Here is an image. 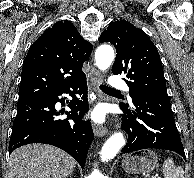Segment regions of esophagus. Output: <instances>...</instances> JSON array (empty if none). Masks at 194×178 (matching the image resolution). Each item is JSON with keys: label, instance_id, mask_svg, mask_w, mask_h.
<instances>
[{"label": "esophagus", "instance_id": "34e87169", "mask_svg": "<svg viewBox=\"0 0 194 178\" xmlns=\"http://www.w3.org/2000/svg\"><path fill=\"white\" fill-rule=\"evenodd\" d=\"M90 82H91L92 89L94 90V92L96 94V100H98V101L102 100V93L97 88L98 84H100L102 82V75L95 66L91 67ZM92 128H93V132H94L95 136H97V137H102V136L106 135L108 132L107 127L103 126V125H98V124L94 123L92 125Z\"/></svg>", "mask_w": 194, "mask_h": 178}]
</instances>
